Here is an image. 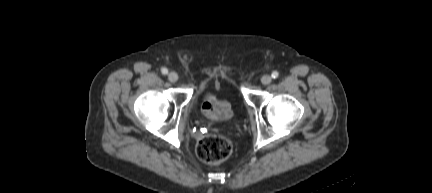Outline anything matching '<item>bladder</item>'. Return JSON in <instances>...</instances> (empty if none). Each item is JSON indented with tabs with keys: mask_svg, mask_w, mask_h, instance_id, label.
I'll use <instances>...</instances> for the list:
<instances>
[{
	"mask_svg": "<svg viewBox=\"0 0 432 193\" xmlns=\"http://www.w3.org/2000/svg\"><path fill=\"white\" fill-rule=\"evenodd\" d=\"M210 87H204L202 90H201V92H200V94H199V96H201V95H203L206 91H207V89H209ZM213 88H216V89H218L219 88V86H214Z\"/></svg>",
	"mask_w": 432,
	"mask_h": 193,
	"instance_id": "bladder-1",
	"label": "bladder"
}]
</instances>
